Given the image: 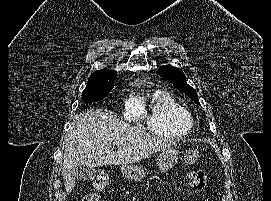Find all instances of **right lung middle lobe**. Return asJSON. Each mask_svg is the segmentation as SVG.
I'll return each instance as SVG.
<instances>
[{"mask_svg":"<svg viewBox=\"0 0 271 201\" xmlns=\"http://www.w3.org/2000/svg\"><path fill=\"white\" fill-rule=\"evenodd\" d=\"M115 79L116 75L88 79V84L82 93V100L87 103L101 101L113 89Z\"/></svg>","mask_w":271,"mask_h":201,"instance_id":"right-lung-middle-lobe-1","label":"right lung middle lobe"}]
</instances>
